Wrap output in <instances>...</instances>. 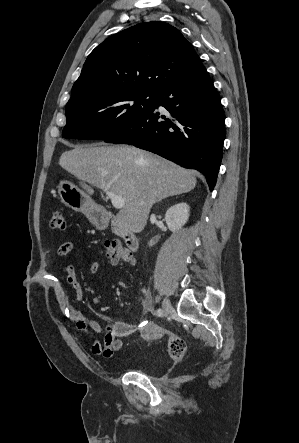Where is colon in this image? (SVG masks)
I'll return each mask as SVG.
<instances>
[{"mask_svg":"<svg viewBox=\"0 0 299 443\" xmlns=\"http://www.w3.org/2000/svg\"><path fill=\"white\" fill-rule=\"evenodd\" d=\"M50 226L55 230H64L66 221L62 211H55L50 220ZM107 257L112 264L122 265L133 261L131 250L124 247L119 240H107L105 242ZM135 333L144 340H158L166 337L168 340V352L172 359L180 361L186 353L185 340L166 329L147 321H139L132 324Z\"/></svg>","mask_w":299,"mask_h":443,"instance_id":"colon-1","label":"colon"}]
</instances>
